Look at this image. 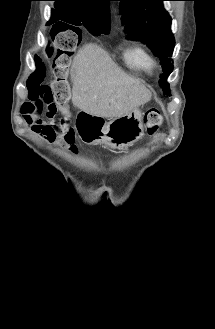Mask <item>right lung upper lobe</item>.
Wrapping results in <instances>:
<instances>
[{
	"mask_svg": "<svg viewBox=\"0 0 215 329\" xmlns=\"http://www.w3.org/2000/svg\"><path fill=\"white\" fill-rule=\"evenodd\" d=\"M55 10H52L51 22L62 20L67 24L70 17L78 16L86 22L102 27L104 30L110 29V9L111 0H53ZM66 22V23H64ZM68 25V24H67Z\"/></svg>",
	"mask_w": 215,
	"mask_h": 329,
	"instance_id": "right-lung-upper-lobe-1",
	"label": "right lung upper lobe"
}]
</instances>
